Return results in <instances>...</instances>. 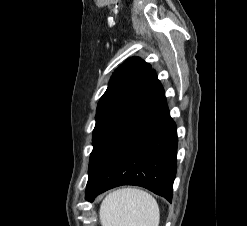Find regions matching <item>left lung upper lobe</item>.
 Segmentation results:
<instances>
[{"label": "left lung upper lobe", "mask_w": 247, "mask_h": 226, "mask_svg": "<svg viewBox=\"0 0 247 226\" xmlns=\"http://www.w3.org/2000/svg\"><path fill=\"white\" fill-rule=\"evenodd\" d=\"M150 70L151 66L148 63L133 57L114 72L97 106L93 143Z\"/></svg>", "instance_id": "left-lung-upper-lobe-1"}]
</instances>
